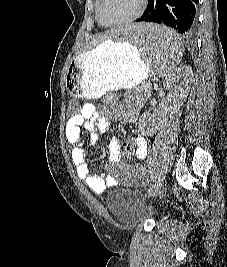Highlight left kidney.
Wrapping results in <instances>:
<instances>
[{
  "mask_svg": "<svg viewBox=\"0 0 227 267\" xmlns=\"http://www.w3.org/2000/svg\"><path fill=\"white\" fill-rule=\"evenodd\" d=\"M173 77H165L163 86L168 91L167 104L162 105L155 113L146 111L141 115L139 126L147 135H153L163 128L168 119L178 112L186 99L193 79V72L189 66L175 69ZM145 126L147 129L145 130Z\"/></svg>",
  "mask_w": 227,
  "mask_h": 267,
  "instance_id": "obj_1",
  "label": "left kidney"
}]
</instances>
